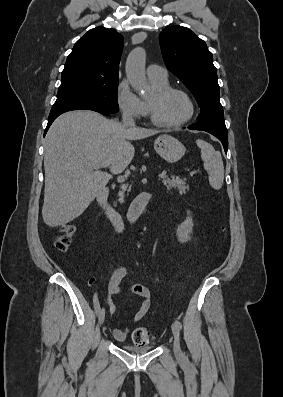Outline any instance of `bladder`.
I'll return each instance as SVG.
<instances>
[{"instance_id": "31cf9c89", "label": "bladder", "mask_w": 283, "mask_h": 397, "mask_svg": "<svg viewBox=\"0 0 283 397\" xmlns=\"http://www.w3.org/2000/svg\"><path fill=\"white\" fill-rule=\"evenodd\" d=\"M154 348V345L147 346H132V345H123V349L127 352L134 354H144L151 351Z\"/></svg>"}]
</instances>
